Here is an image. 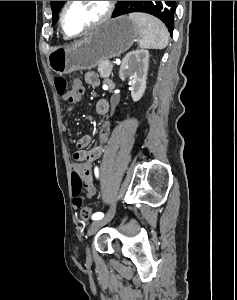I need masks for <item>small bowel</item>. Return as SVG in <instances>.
Wrapping results in <instances>:
<instances>
[{"label": "small bowel", "mask_w": 237, "mask_h": 300, "mask_svg": "<svg viewBox=\"0 0 237 300\" xmlns=\"http://www.w3.org/2000/svg\"><path fill=\"white\" fill-rule=\"evenodd\" d=\"M84 79L86 84L89 86L95 87L99 84L98 75L94 72L86 73ZM71 87V91H75L76 89L83 87V85L80 80L75 79L73 80ZM73 107L74 104H71L68 106L67 110L70 112L73 110ZM96 112L99 116L105 118L99 129V140L101 143H106L109 140L111 133V124L106 119L109 112V103L106 99H100L97 101ZM91 142L92 138L90 135L82 136L77 141V150L73 154V158L76 163L71 165L72 171L76 170L80 173L88 197H92L96 192L92 174V164L94 161L98 160L102 154V147L100 145L90 147Z\"/></svg>", "instance_id": "c3829d8e"}]
</instances>
